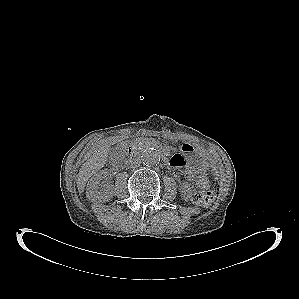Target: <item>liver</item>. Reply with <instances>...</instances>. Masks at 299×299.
Masks as SVG:
<instances>
[{"label": "liver", "instance_id": "1", "mask_svg": "<svg viewBox=\"0 0 299 299\" xmlns=\"http://www.w3.org/2000/svg\"><path fill=\"white\" fill-rule=\"evenodd\" d=\"M123 139L124 138L120 136L105 139L100 147L96 149L90 156V158L81 166L77 179V187L79 192H83L89 178L98 170L104 167L111 150V145H114L117 142L122 141Z\"/></svg>", "mask_w": 299, "mask_h": 299}]
</instances>
